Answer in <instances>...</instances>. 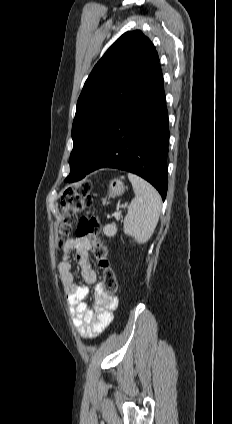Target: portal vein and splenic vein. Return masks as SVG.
Masks as SVG:
<instances>
[{
    "mask_svg": "<svg viewBox=\"0 0 232 424\" xmlns=\"http://www.w3.org/2000/svg\"><path fill=\"white\" fill-rule=\"evenodd\" d=\"M124 208H125V207H124ZM114 215H115L116 217H118V216H119V214H117V213H115Z\"/></svg>",
    "mask_w": 232,
    "mask_h": 424,
    "instance_id": "18ae733b",
    "label": "portal vein and splenic vein"
}]
</instances>
